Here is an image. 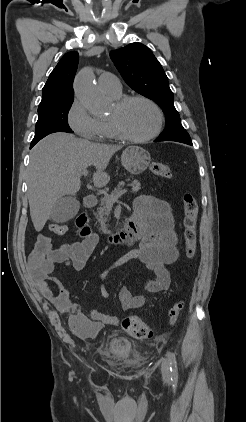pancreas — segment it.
<instances>
[{
	"label": "pancreas",
	"mask_w": 246,
	"mask_h": 422,
	"mask_svg": "<svg viewBox=\"0 0 246 422\" xmlns=\"http://www.w3.org/2000/svg\"><path fill=\"white\" fill-rule=\"evenodd\" d=\"M130 179H127V181H129ZM123 183L119 184L111 193L110 195L105 194L104 198L100 199V204L99 207L97 208V220L100 223V228L99 230L102 231L103 233H109L110 231L108 230V226L105 224L107 221L106 218V210L108 207V203L106 201L107 197H115L122 189ZM130 186H132V191L133 192H138L141 189V184L138 180H133L132 183L130 184Z\"/></svg>",
	"instance_id": "obj_1"
}]
</instances>
